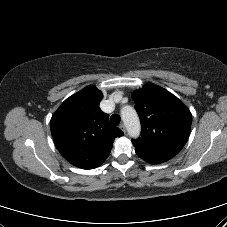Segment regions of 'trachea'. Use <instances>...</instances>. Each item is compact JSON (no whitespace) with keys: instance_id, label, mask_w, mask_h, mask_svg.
I'll use <instances>...</instances> for the list:
<instances>
[{"instance_id":"3493384b","label":"trachea","mask_w":227,"mask_h":227,"mask_svg":"<svg viewBox=\"0 0 227 227\" xmlns=\"http://www.w3.org/2000/svg\"><path fill=\"white\" fill-rule=\"evenodd\" d=\"M110 121L111 123L114 125V126H118L120 121H121V118L119 115L117 114H113L111 117H110Z\"/></svg>"}]
</instances>
